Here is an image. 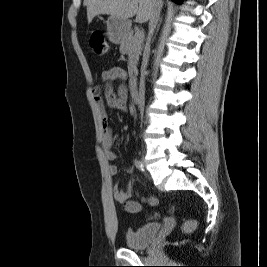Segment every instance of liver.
Listing matches in <instances>:
<instances>
[{"label":"liver","mask_w":267,"mask_h":267,"mask_svg":"<svg viewBox=\"0 0 267 267\" xmlns=\"http://www.w3.org/2000/svg\"><path fill=\"white\" fill-rule=\"evenodd\" d=\"M157 0H84L88 23L97 15H111L128 19L136 15V22L150 20ZM162 1V0H161Z\"/></svg>","instance_id":"obj_1"}]
</instances>
